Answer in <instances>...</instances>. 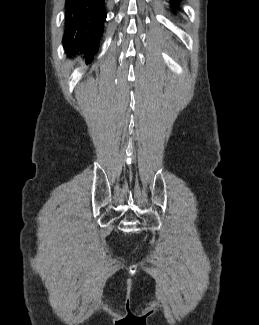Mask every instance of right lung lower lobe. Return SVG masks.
<instances>
[{
  "instance_id": "98d812e1",
  "label": "right lung lower lobe",
  "mask_w": 259,
  "mask_h": 325,
  "mask_svg": "<svg viewBox=\"0 0 259 325\" xmlns=\"http://www.w3.org/2000/svg\"><path fill=\"white\" fill-rule=\"evenodd\" d=\"M65 8L64 47L93 57L106 19L104 0H66Z\"/></svg>"
}]
</instances>
